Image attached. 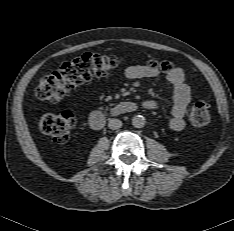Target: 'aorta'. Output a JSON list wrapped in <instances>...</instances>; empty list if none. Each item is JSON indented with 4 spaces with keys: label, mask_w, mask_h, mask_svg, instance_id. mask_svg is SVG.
Masks as SVG:
<instances>
[{
    "label": "aorta",
    "mask_w": 234,
    "mask_h": 231,
    "mask_svg": "<svg viewBox=\"0 0 234 231\" xmlns=\"http://www.w3.org/2000/svg\"><path fill=\"white\" fill-rule=\"evenodd\" d=\"M132 125L135 128H142L145 125V118L141 115H136L132 118Z\"/></svg>",
    "instance_id": "obj_1"
}]
</instances>
